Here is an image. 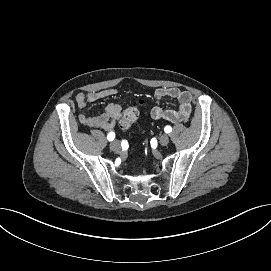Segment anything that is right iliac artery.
<instances>
[{
  "label": "right iliac artery",
  "mask_w": 271,
  "mask_h": 271,
  "mask_svg": "<svg viewBox=\"0 0 271 271\" xmlns=\"http://www.w3.org/2000/svg\"><path fill=\"white\" fill-rule=\"evenodd\" d=\"M115 138V133L114 132H110L108 135H107V139L109 141H113Z\"/></svg>",
  "instance_id": "82829eb1"
}]
</instances>
